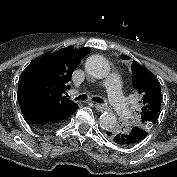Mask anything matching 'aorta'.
I'll return each mask as SVG.
<instances>
[{"mask_svg": "<svg viewBox=\"0 0 177 177\" xmlns=\"http://www.w3.org/2000/svg\"><path fill=\"white\" fill-rule=\"evenodd\" d=\"M86 72L96 79H103L109 75L110 66L105 57L101 55H92L85 62ZM117 124V118L114 113L104 112L100 116V126L105 130H112Z\"/></svg>", "mask_w": 177, "mask_h": 177, "instance_id": "1", "label": "aorta"}]
</instances>
